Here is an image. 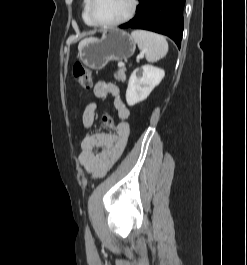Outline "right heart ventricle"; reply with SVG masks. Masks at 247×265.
<instances>
[{
    "mask_svg": "<svg viewBox=\"0 0 247 265\" xmlns=\"http://www.w3.org/2000/svg\"><path fill=\"white\" fill-rule=\"evenodd\" d=\"M88 5H89V0H83L82 3V19L85 22L86 25L93 27L94 25L92 24L89 15H88Z\"/></svg>",
    "mask_w": 247,
    "mask_h": 265,
    "instance_id": "obj_1",
    "label": "right heart ventricle"
}]
</instances>
